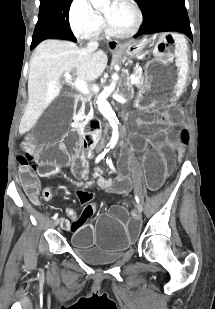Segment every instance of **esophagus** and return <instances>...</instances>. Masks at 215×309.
Masks as SVG:
<instances>
[{
  "label": "esophagus",
  "instance_id": "34e87169",
  "mask_svg": "<svg viewBox=\"0 0 215 309\" xmlns=\"http://www.w3.org/2000/svg\"><path fill=\"white\" fill-rule=\"evenodd\" d=\"M121 44L117 40H111L108 42V47L110 50H115L117 47H120Z\"/></svg>",
  "mask_w": 215,
  "mask_h": 309
}]
</instances>
